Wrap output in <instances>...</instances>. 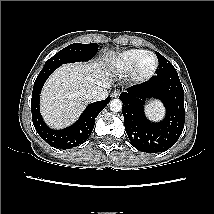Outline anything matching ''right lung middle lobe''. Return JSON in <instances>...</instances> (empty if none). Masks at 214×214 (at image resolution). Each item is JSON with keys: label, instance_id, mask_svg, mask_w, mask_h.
<instances>
[{"label": "right lung middle lobe", "instance_id": "dd1d6c3e", "mask_svg": "<svg viewBox=\"0 0 214 214\" xmlns=\"http://www.w3.org/2000/svg\"><path fill=\"white\" fill-rule=\"evenodd\" d=\"M98 51V44H81L74 43L71 44L58 53H56L53 57L46 61L44 67H59L65 63H72L76 61H88Z\"/></svg>", "mask_w": 214, "mask_h": 214}]
</instances>
